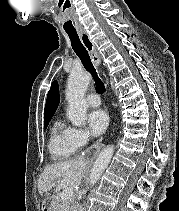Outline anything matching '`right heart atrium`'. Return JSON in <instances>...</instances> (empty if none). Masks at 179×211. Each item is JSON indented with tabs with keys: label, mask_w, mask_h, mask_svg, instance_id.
Listing matches in <instances>:
<instances>
[{
	"label": "right heart atrium",
	"mask_w": 179,
	"mask_h": 211,
	"mask_svg": "<svg viewBox=\"0 0 179 211\" xmlns=\"http://www.w3.org/2000/svg\"><path fill=\"white\" fill-rule=\"evenodd\" d=\"M69 137L76 149L85 146L89 141L88 133L80 128L70 127Z\"/></svg>",
	"instance_id": "obj_1"
}]
</instances>
